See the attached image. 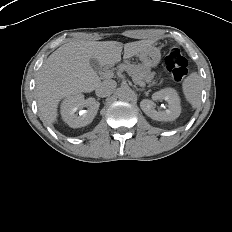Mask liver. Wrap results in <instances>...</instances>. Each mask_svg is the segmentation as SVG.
<instances>
[{
    "mask_svg": "<svg viewBox=\"0 0 232 232\" xmlns=\"http://www.w3.org/2000/svg\"><path fill=\"white\" fill-rule=\"evenodd\" d=\"M154 40L122 44L117 41H71L54 51L43 64L36 80L38 111L42 121H57L60 100L68 95L92 92L101 80L90 65L95 58L100 65L118 63L124 48V59L138 55Z\"/></svg>",
    "mask_w": 232,
    "mask_h": 232,
    "instance_id": "6515ba94",
    "label": "liver"
}]
</instances>
